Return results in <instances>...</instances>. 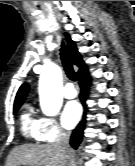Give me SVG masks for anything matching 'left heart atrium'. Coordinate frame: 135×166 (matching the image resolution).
Returning a JSON list of instances; mask_svg holds the SVG:
<instances>
[{
    "instance_id": "left-heart-atrium-1",
    "label": "left heart atrium",
    "mask_w": 135,
    "mask_h": 166,
    "mask_svg": "<svg viewBox=\"0 0 135 166\" xmlns=\"http://www.w3.org/2000/svg\"><path fill=\"white\" fill-rule=\"evenodd\" d=\"M80 114L81 110L76 102L67 103L62 111V125L67 129L73 128L78 122Z\"/></svg>"
}]
</instances>
